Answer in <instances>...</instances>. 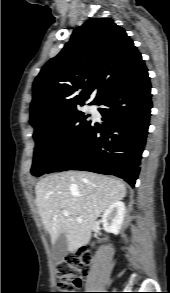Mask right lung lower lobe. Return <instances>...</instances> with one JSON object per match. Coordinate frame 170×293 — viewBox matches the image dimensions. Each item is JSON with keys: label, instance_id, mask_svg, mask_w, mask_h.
I'll return each instance as SVG.
<instances>
[{"label": "right lung lower lobe", "instance_id": "1", "mask_svg": "<svg viewBox=\"0 0 170 293\" xmlns=\"http://www.w3.org/2000/svg\"><path fill=\"white\" fill-rule=\"evenodd\" d=\"M95 104L103 106L102 124L90 122L47 173L91 171L115 175L134 186L152 108L147 68L108 89Z\"/></svg>", "mask_w": 170, "mask_h": 293}]
</instances>
